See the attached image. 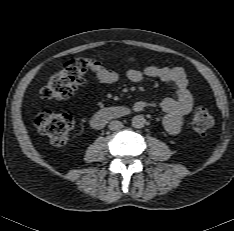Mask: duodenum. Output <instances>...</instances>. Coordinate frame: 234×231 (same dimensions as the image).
I'll list each match as a JSON object with an SVG mask.
<instances>
[{
    "mask_svg": "<svg viewBox=\"0 0 234 231\" xmlns=\"http://www.w3.org/2000/svg\"><path fill=\"white\" fill-rule=\"evenodd\" d=\"M129 112V108L125 106H111L103 108L92 116V125L94 127H101L108 121L127 116Z\"/></svg>",
    "mask_w": 234,
    "mask_h": 231,
    "instance_id": "obj_1",
    "label": "duodenum"
}]
</instances>
